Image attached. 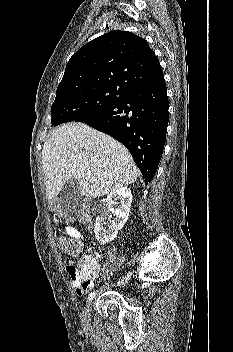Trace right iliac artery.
Returning <instances> with one entry per match:
<instances>
[{"instance_id": "82829eb1", "label": "right iliac artery", "mask_w": 233, "mask_h": 352, "mask_svg": "<svg viewBox=\"0 0 233 352\" xmlns=\"http://www.w3.org/2000/svg\"><path fill=\"white\" fill-rule=\"evenodd\" d=\"M130 276H131V272H129V273L127 274V276H125L121 281H119V282L117 283V285L124 284L125 282H127V281L129 280ZM95 295H96V292H95V291L91 292V293L88 295V301L90 302V301L95 297Z\"/></svg>"}]
</instances>
